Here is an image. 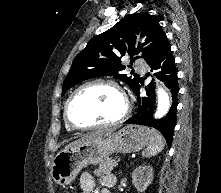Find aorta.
I'll return each mask as SVG.
<instances>
[{"instance_id": "aorta-1", "label": "aorta", "mask_w": 221, "mask_h": 193, "mask_svg": "<svg viewBox=\"0 0 221 193\" xmlns=\"http://www.w3.org/2000/svg\"><path fill=\"white\" fill-rule=\"evenodd\" d=\"M157 96H158V108L155 113V117L161 118L164 115H166L167 112L169 111L170 99H169V95L167 94V92L162 88H158Z\"/></svg>"}]
</instances>
